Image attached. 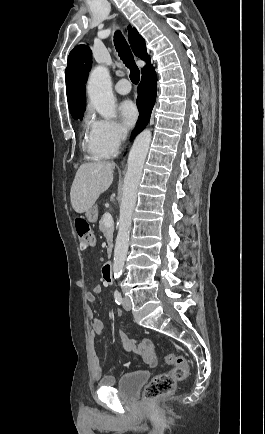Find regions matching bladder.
<instances>
[{
  "label": "bladder",
  "mask_w": 265,
  "mask_h": 434,
  "mask_svg": "<svg viewBox=\"0 0 265 434\" xmlns=\"http://www.w3.org/2000/svg\"><path fill=\"white\" fill-rule=\"evenodd\" d=\"M149 377L146 371H131L122 375L118 383V395L126 399H136Z\"/></svg>",
  "instance_id": "bladder-1"
}]
</instances>
